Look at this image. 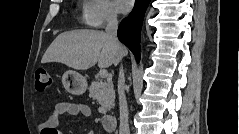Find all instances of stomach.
<instances>
[{"label": "stomach", "mask_w": 239, "mask_h": 134, "mask_svg": "<svg viewBox=\"0 0 239 134\" xmlns=\"http://www.w3.org/2000/svg\"><path fill=\"white\" fill-rule=\"evenodd\" d=\"M62 84L69 93L74 95H81L87 89L86 79L73 70H68L63 74Z\"/></svg>", "instance_id": "stomach-1"}]
</instances>
